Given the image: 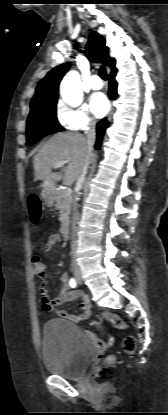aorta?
Here are the masks:
<instances>
[{
	"label": "aorta",
	"mask_w": 168,
	"mask_h": 415,
	"mask_svg": "<svg viewBox=\"0 0 168 415\" xmlns=\"http://www.w3.org/2000/svg\"><path fill=\"white\" fill-rule=\"evenodd\" d=\"M60 94L71 106L76 107L81 104L83 94L80 90V76L76 71H71L64 77L60 85Z\"/></svg>",
	"instance_id": "1"
}]
</instances>
